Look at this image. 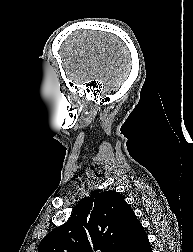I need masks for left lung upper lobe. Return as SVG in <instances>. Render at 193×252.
I'll list each match as a JSON object with an SVG mask.
<instances>
[{
    "instance_id": "obj_1",
    "label": "left lung upper lobe",
    "mask_w": 193,
    "mask_h": 252,
    "mask_svg": "<svg viewBox=\"0 0 193 252\" xmlns=\"http://www.w3.org/2000/svg\"><path fill=\"white\" fill-rule=\"evenodd\" d=\"M138 224L121 194L95 190L78 202L66 223L42 239L38 252H125Z\"/></svg>"
}]
</instances>
